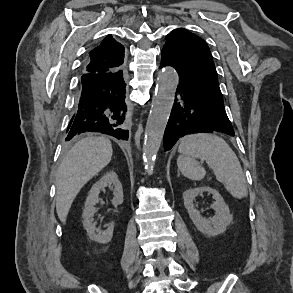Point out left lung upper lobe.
<instances>
[{
  "instance_id": "5c2ea615",
  "label": "left lung upper lobe",
  "mask_w": 293,
  "mask_h": 293,
  "mask_svg": "<svg viewBox=\"0 0 293 293\" xmlns=\"http://www.w3.org/2000/svg\"><path fill=\"white\" fill-rule=\"evenodd\" d=\"M162 50L170 56L182 81L222 98L215 65L203 39L185 29H175Z\"/></svg>"
}]
</instances>
